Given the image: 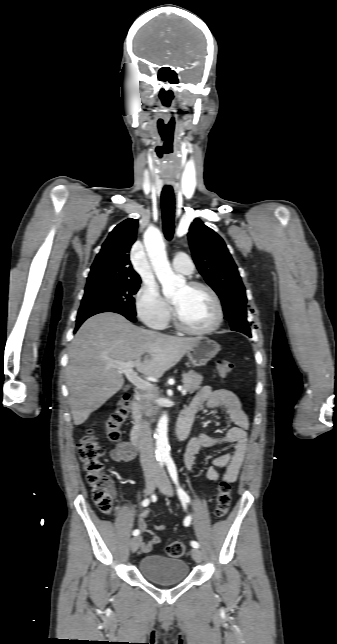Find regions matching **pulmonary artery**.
I'll return each mask as SVG.
<instances>
[{"label": "pulmonary artery", "mask_w": 337, "mask_h": 644, "mask_svg": "<svg viewBox=\"0 0 337 644\" xmlns=\"http://www.w3.org/2000/svg\"><path fill=\"white\" fill-rule=\"evenodd\" d=\"M172 266L175 271L186 275L191 274L194 269L191 259L184 253H179L173 258Z\"/></svg>", "instance_id": "obj_1"}]
</instances>
